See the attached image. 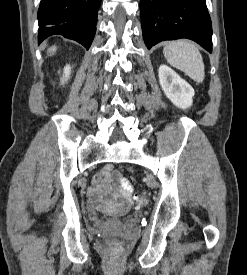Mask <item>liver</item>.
<instances>
[{
  "label": "liver",
  "instance_id": "liver-1",
  "mask_svg": "<svg viewBox=\"0 0 247 275\" xmlns=\"http://www.w3.org/2000/svg\"><path fill=\"white\" fill-rule=\"evenodd\" d=\"M55 51H56V47H55V46L51 47V48L48 50V52H49L50 54H53Z\"/></svg>",
  "mask_w": 247,
  "mask_h": 275
}]
</instances>
